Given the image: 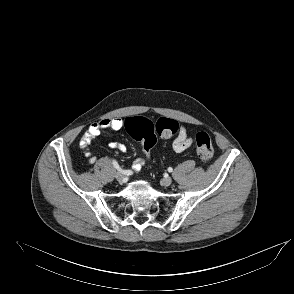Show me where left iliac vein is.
<instances>
[{
    "label": "left iliac vein",
    "instance_id": "1",
    "mask_svg": "<svg viewBox=\"0 0 294 294\" xmlns=\"http://www.w3.org/2000/svg\"><path fill=\"white\" fill-rule=\"evenodd\" d=\"M171 183H172V179L170 177H166L161 180V184L166 187L170 186Z\"/></svg>",
    "mask_w": 294,
    "mask_h": 294
}]
</instances>
